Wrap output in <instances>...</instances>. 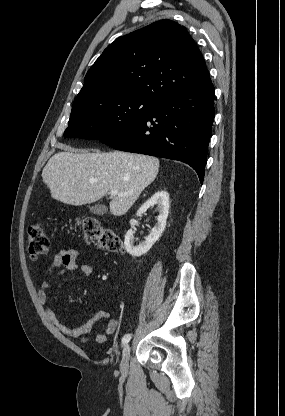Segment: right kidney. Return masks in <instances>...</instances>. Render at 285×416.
Wrapping results in <instances>:
<instances>
[{"mask_svg":"<svg viewBox=\"0 0 285 416\" xmlns=\"http://www.w3.org/2000/svg\"><path fill=\"white\" fill-rule=\"evenodd\" d=\"M155 204H158L159 208V216L157 218L158 222L154 228H152L149 236L145 238L144 242L142 244H139V246H133L134 242V232L133 230H128L126 236H125V250L128 252V254H131V256H135V258H139V256H143V254H146V252H149L150 248H152L153 244L157 242L158 238H160L165 226H166V220L168 216V210H169V194L168 192H164V190H160V192H156L152 198H149L141 208H139L136 216H142V214H145L146 210L148 208H151V206H155Z\"/></svg>","mask_w":285,"mask_h":416,"instance_id":"obj_1","label":"right kidney"}]
</instances>
